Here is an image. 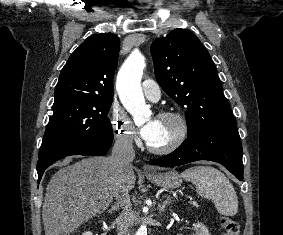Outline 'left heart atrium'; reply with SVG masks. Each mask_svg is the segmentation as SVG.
<instances>
[{"label":"left heart atrium","mask_w":283,"mask_h":235,"mask_svg":"<svg viewBox=\"0 0 283 235\" xmlns=\"http://www.w3.org/2000/svg\"><path fill=\"white\" fill-rule=\"evenodd\" d=\"M158 128H159V120L153 119L142 127L141 136L145 141L150 143L156 136Z\"/></svg>","instance_id":"obj_1"}]
</instances>
